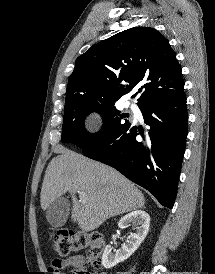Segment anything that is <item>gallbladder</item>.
Masks as SVG:
<instances>
[{
	"mask_svg": "<svg viewBox=\"0 0 215 274\" xmlns=\"http://www.w3.org/2000/svg\"><path fill=\"white\" fill-rule=\"evenodd\" d=\"M70 213V203L63 197L55 199L46 209V219L53 227L65 224Z\"/></svg>",
	"mask_w": 215,
	"mask_h": 274,
	"instance_id": "obj_1",
	"label": "gallbladder"
}]
</instances>
